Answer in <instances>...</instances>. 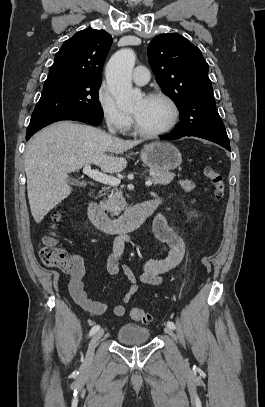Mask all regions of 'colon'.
Instances as JSON below:
<instances>
[{
    "label": "colon",
    "mask_w": 265,
    "mask_h": 407,
    "mask_svg": "<svg viewBox=\"0 0 265 407\" xmlns=\"http://www.w3.org/2000/svg\"><path fill=\"white\" fill-rule=\"evenodd\" d=\"M204 174L209 179L213 187V196L216 200H222L225 196V181L223 175L212 165L204 167ZM61 220L59 213L52 217V227L54 228ZM39 256L42 262L50 268H56L63 271H71L74 267V258L64 248L58 245L57 239L53 232L42 238ZM131 318L143 323L154 321V316L138 308H133L130 312Z\"/></svg>",
    "instance_id": "colon-1"
}]
</instances>
